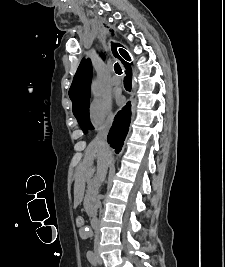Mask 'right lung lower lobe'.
Here are the masks:
<instances>
[{
    "label": "right lung lower lobe",
    "instance_id": "obj_1",
    "mask_svg": "<svg viewBox=\"0 0 225 267\" xmlns=\"http://www.w3.org/2000/svg\"><path fill=\"white\" fill-rule=\"evenodd\" d=\"M126 68V74L124 84L127 89L131 86V67L129 66ZM130 116H131V105L127 104L122 111H120L117 116L115 117L114 124L109 132L108 135V143L111 147L116 149L118 153L123 145V141L128 131V126L130 123Z\"/></svg>",
    "mask_w": 225,
    "mask_h": 267
}]
</instances>
